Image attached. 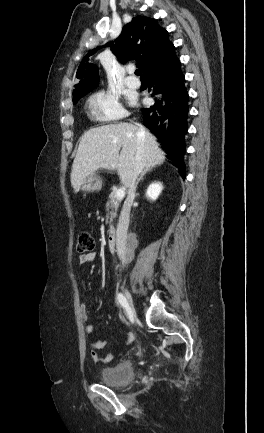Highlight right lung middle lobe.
<instances>
[{
	"label": "right lung middle lobe",
	"mask_w": 264,
	"mask_h": 433,
	"mask_svg": "<svg viewBox=\"0 0 264 433\" xmlns=\"http://www.w3.org/2000/svg\"><path fill=\"white\" fill-rule=\"evenodd\" d=\"M80 98L73 100V103L76 104Z\"/></svg>",
	"instance_id": "1"
}]
</instances>
